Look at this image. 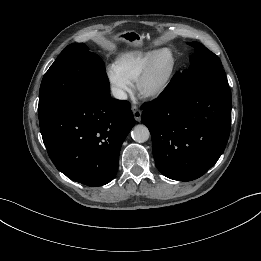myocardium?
I'll return each instance as SVG.
<instances>
[{
  "label": "myocardium",
  "mask_w": 261,
  "mask_h": 261,
  "mask_svg": "<svg viewBox=\"0 0 261 261\" xmlns=\"http://www.w3.org/2000/svg\"><path fill=\"white\" fill-rule=\"evenodd\" d=\"M168 53L171 57V64L165 75L159 80L153 79V68L157 58L163 54ZM176 57L174 52L169 48L158 49L149 60L143 72L136 81V89L140 96L148 99H155L165 93L170 86L175 70H176Z\"/></svg>",
  "instance_id": "myocardium-1"
}]
</instances>
